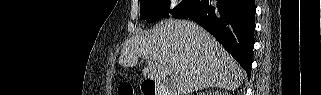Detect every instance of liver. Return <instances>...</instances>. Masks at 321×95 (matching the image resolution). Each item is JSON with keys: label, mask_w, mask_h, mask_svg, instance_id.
<instances>
[{"label": "liver", "mask_w": 321, "mask_h": 95, "mask_svg": "<svg viewBox=\"0 0 321 95\" xmlns=\"http://www.w3.org/2000/svg\"><path fill=\"white\" fill-rule=\"evenodd\" d=\"M147 61L143 75L157 83L176 74L178 95L209 87L237 89L245 73L206 30L185 20H165L150 34L130 38L122 47L121 66Z\"/></svg>", "instance_id": "liver-1"}]
</instances>
